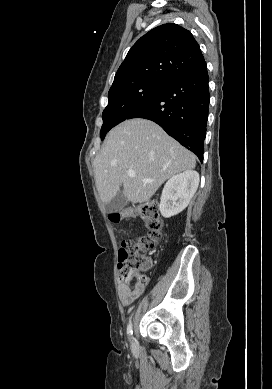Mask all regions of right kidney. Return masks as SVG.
<instances>
[{"mask_svg":"<svg viewBox=\"0 0 272 389\" xmlns=\"http://www.w3.org/2000/svg\"><path fill=\"white\" fill-rule=\"evenodd\" d=\"M199 180V173L193 170L172 176L162 191L159 205L162 216L170 218L182 212L194 196Z\"/></svg>","mask_w":272,"mask_h":389,"instance_id":"right-kidney-1","label":"right kidney"}]
</instances>
